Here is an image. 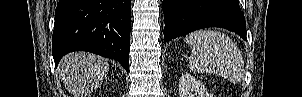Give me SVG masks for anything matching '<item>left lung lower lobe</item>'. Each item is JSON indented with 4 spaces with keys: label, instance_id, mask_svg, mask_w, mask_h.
<instances>
[{
    "label": "left lung lower lobe",
    "instance_id": "1",
    "mask_svg": "<svg viewBox=\"0 0 302 97\" xmlns=\"http://www.w3.org/2000/svg\"><path fill=\"white\" fill-rule=\"evenodd\" d=\"M164 41L189 32L221 27L246 40V24L238 0H163Z\"/></svg>",
    "mask_w": 302,
    "mask_h": 97
}]
</instances>
